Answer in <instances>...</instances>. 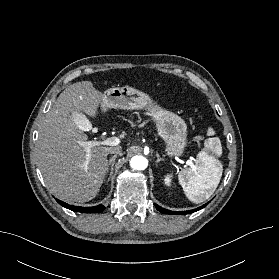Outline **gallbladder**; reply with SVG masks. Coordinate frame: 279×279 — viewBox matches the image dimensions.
<instances>
[{"instance_id": "bac80fb5", "label": "gallbladder", "mask_w": 279, "mask_h": 279, "mask_svg": "<svg viewBox=\"0 0 279 279\" xmlns=\"http://www.w3.org/2000/svg\"><path fill=\"white\" fill-rule=\"evenodd\" d=\"M72 119L74 120V122L78 125V126H83V114L80 112H76V113H72Z\"/></svg>"}]
</instances>
